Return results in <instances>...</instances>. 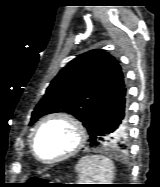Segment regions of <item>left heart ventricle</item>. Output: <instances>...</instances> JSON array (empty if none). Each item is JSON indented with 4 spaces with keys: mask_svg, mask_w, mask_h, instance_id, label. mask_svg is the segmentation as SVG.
Returning <instances> with one entry per match:
<instances>
[{
    "mask_svg": "<svg viewBox=\"0 0 160 187\" xmlns=\"http://www.w3.org/2000/svg\"><path fill=\"white\" fill-rule=\"evenodd\" d=\"M77 142L71 125L62 120L46 123L36 138V151L40 157L51 160L70 151Z\"/></svg>",
    "mask_w": 160,
    "mask_h": 187,
    "instance_id": "1",
    "label": "left heart ventricle"
}]
</instances>
